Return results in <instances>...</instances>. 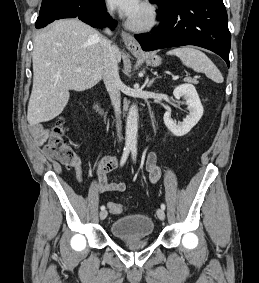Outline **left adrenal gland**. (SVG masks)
Wrapping results in <instances>:
<instances>
[{"mask_svg":"<svg viewBox=\"0 0 259 283\" xmlns=\"http://www.w3.org/2000/svg\"><path fill=\"white\" fill-rule=\"evenodd\" d=\"M158 78V76L157 77H154V78H152L151 80H149V79H147V87L149 88V87H151V85L153 84V82L155 81V79H157Z\"/></svg>","mask_w":259,"mask_h":283,"instance_id":"left-adrenal-gland-1","label":"left adrenal gland"}]
</instances>
